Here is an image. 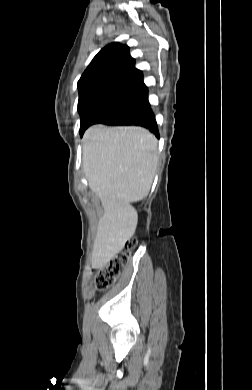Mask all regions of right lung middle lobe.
Wrapping results in <instances>:
<instances>
[{
  "mask_svg": "<svg viewBox=\"0 0 252 390\" xmlns=\"http://www.w3.org/2000/svg\"><path fill=\"white\" fill-rule=\"evenodd\" d=\"M136 102L131 100L106 99L93 101L78 108L81 117L80 135L93 124L104 123L114 115L128 109Z\"/></svg>",
  "mask_w": 252,
  "mask_h": 390,
  "instance_id": "obj_1",
  "label": "right lung middle lobe"
}]
</instances>
